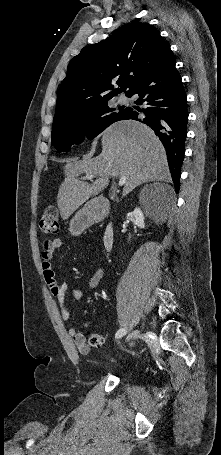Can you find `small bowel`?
Wrapping results in <instances>:
<instances>
[{
    "mask_svg": "<svg viewBox=\"0 0 221 455\" xmlns=\"http://www.w3.org/2000/svg\"><path fill=\"white\" fill-rule=\"evenodd\" d=\"M62 241L60 239L47 240L44 243L42 258H41V269L43 273V279L47 284L51 294L57 299L59 304L60 317L63 321L70 319V313L65 305V298L68 293L76 299H81L84 296V292L71 286L68 282L57 283L55 280V271L52 265V258L54 257L57 250L60 249ZM102 278V270L100 269L90 282V287L94 288L98 285ZM70 337L75 342L78 350L82 354L90 352V346L86 343L84 335L77 328H70L68 330Z\"/></svg>",
    "mask_w": 221,
    "mask_h": 455,
    "instance_id": "obj_1",
    "label": "small bowel"
}]
</instances>
